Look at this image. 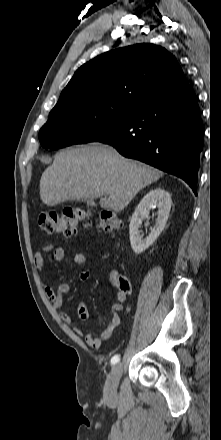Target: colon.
Wrapping results in <instances>:
<instances>
[{
  "mask_svg": "<svg viewBox=\"0 0 221 440\" xmlns=\"http://www.w3.org/2000/svg\"><path fill=\"white\" fill-rule=\"evenodd\" d=\"M90 214L78 208H65L61 212L46 211L38 217V227L41 231L61 233L66 237L77 234L81 225L91 224ZM96 228L104 232H114L121 228L122 222L119 216L111 211H104L93 220ZM118 290L128 295L131 293V284L128 278L119 276L117 278Z\"/></svg>",
  "mask_w": 221,
  "mask_h": 440,
  "instance_id": "colon-1",
  "label": "colon"
}]
</instances>
